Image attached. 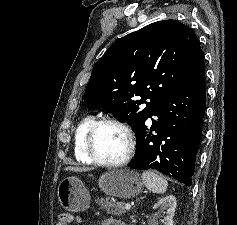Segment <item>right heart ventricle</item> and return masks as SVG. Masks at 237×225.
Wrapping results in <instances>:
<instances>
[{
	"label": "right heart ventricle",
	"mask_w": 237,
	"mask_h": 225,
	"mask_svg": "<svg viewBox=\"0 0 237 225\" xmlns=\"http://www.w3.org/2000/svg\"><path fill=\"white\" fill-rule=\"evenodd\" d=\"M95 121L93 116H86L79 121L74 132V156L77 161L90 164L93 161L85 150V138L91 124Z\"/></svg>",
	"instance_id": "e07e8e85"
}]
</instances>
